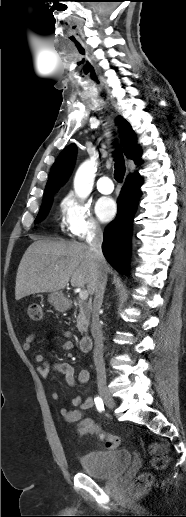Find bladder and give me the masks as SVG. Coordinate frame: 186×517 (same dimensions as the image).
<instances>
[{"label": "bladder", "mask_w": 186, "mask_h": 517, "mask_svg": "<svg viewBox=\"0 0 186 517\" xmlns=\"http://www.w3.org/2000/svg\"><path fill=\"white\" fill-rule=\"evenodd\" d=\"M131 452L119 449L109 453L89 452L81 456L83 471L97 479H111L120 476L130 465Z\"/></svg>", "instance_id": "bladder-1"}]
</instances>
